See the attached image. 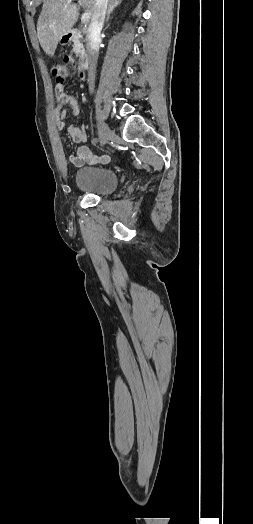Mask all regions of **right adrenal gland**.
Wrapping results in <instances>:
<instances>
[{
	"label": "right adrenal gland",
	"instance_id": "obj_1",
	"mask_svg": "<svg viewBox=\"0 0 253 524\" xmlns=\"http://www.w3.org/2000/svg\"><path fill=\"white\" fill-rule=\"evenodd\" d=\"M121 3V0H110V3H109V7H108V11H107V16H106V19H105V22H108L109 21V18H110V15L111 13L113 12V10L119 6Z\"/></svg>",
	"mask_w": 253,
	"mask_h": 524
}]
</instances>
